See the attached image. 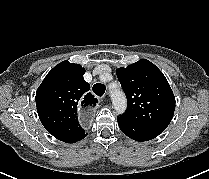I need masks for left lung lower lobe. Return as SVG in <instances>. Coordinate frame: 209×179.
<instances>
[{
	"instance_id": "0a47b994",
	"label": "left lung lower lobe",
	"mask_w": 209,
	"mask_h": 179,
	"mask_svg": "<svg viewBox=\"0 0 209 179\" xmlns=\"http://www.w3.org/2000/svg\"><path fill=\"white\" fill-rule=\"evenodd\" d=\"M117 121L121 131L136 141H148L161 134V132L138 125L122 116L118 117Z\"/></svg>"
}]
</instances>
